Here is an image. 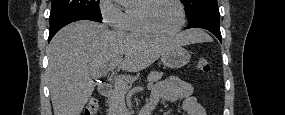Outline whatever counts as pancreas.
<instances>
[{"label": "pancreas", "instance_id": "pancreas-1", "mask_svg": "<svg viewBox=\"0 0 285 115\" xmlns=\"http://www.w3.org/2000/svg\"><path fill=\"white\" fill-rule=\"evenodd\" d=\"M163 76V72L153 71L151 72L147 80L149 84H153L154 82L159 81ZM129 90V86L114 84V89L111 91L107 103H108V112L109 115H122L125 111V95Z\"/></svg>", "mask_w": 285, "mask_h": 115}]
</instances>
